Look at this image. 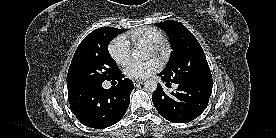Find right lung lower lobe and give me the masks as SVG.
I'll list each match as a JSON object with an SVG mask.
<instances>
[{"label":"right lung lower lobe","instance_id":"right-lung-lower-lobe-1","mask_svg":"<svg viewBox=\"0 0 276 138\" xmlns=\"http://www.w3.org/2000/svg\"><path fill=\"white\" fill-rule=\"evenodd\" d=\"M123 77L120 71L110 79L117 84L109 89H104L102 83H96L68 91L69 104L77 119L97 129L117 123L129 106L134 88L133 82Z\"/></svg>","mask_w":276,"mask_h":138}]
</instances>
